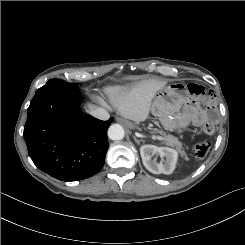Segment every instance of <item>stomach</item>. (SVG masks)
<instances>
[{"mask_svg": "<svg viewBox=\"0 0 245 245\" xmlns=\"http://www.w3.org/2000/svg\"><path fill=\"white\" fill-rule=\"evenodd\" d=\"M186 90L176 84H165L155 95L151 111L167 130L185 128L192 119V107ZM130 128H135L128 123Z\"/></svg>", "mask_w": 245, "mask_h": 245, "instance_id": "obj_1", "label": "stomach"}]
</instances>
